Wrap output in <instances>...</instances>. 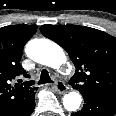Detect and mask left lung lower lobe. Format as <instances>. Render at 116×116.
I'll return each instance as SVG.
<instances>
[{
    "mask_svg": "<svg viewBox=\"0 0 116 116\" xmlns=\"http://www.w3.org/2000/svg\"><path fill=\"white\" fill-rule=\"evenodd\" d=\"M83 108L72 116H113L116 114V98L84 94Z\"/></svg>",
    "mask_w": 116,
    "mask_h": 116,
    "instance_id": "obj_1",
    "label": "left lung lower lobe"
}]
</instances>
